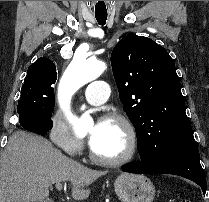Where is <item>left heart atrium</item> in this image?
<instances>
[{
	"label": "left heart atrium",
	"instance_id": "1",
	"mask_svg": "<svg viewBox=\"0 0 209 202\" xmlns=\"http://www.w3.org/2000/svg\"><path fill=\"white\" fill-rule=\"evenodd\" d=\"M99 125H100V123L95 126V128L91 131V133L89 135V142H90V144H92L96 140V138H97Z\"/></svg>",
	"mask_w": 209,
	"mask_h": 202
}]
</instances>
